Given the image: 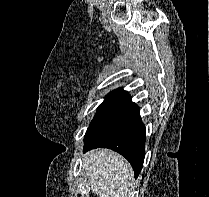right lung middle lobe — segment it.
<instances>
[{"instance_id": "obj_1", "label": "right lung middle lobe", "mask_w": 209, "mask_h": 197, "mask_svg": "<svg viewBox=\"0 0 209 197\" xmlns=\"http://www.w3.org/2000/svg\"><path fill=\"white\" fill-rule=\"evenodd\" d=\"M131 101V96L122 89L112 91L98 107L97 113L91 124L101 120L116 109L126 105ZM90 124V125H91Z\"/></svg>"}]
</instances>
